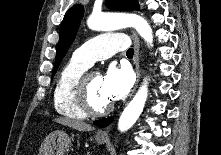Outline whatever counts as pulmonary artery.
Listing matches in <instances>:
<instances>
[{
	"label": "pulmonary artery",
	"instance_id": "1",
	"mask_svg": "<svg viewBox=\"0 0 221 155\" xmlns=\"http://www.w3.org/2000/svg\"><path fill=\"white\" fill-rule=\"evenodd\" d=\"M128 47V38L119 33L100 34L73 53V58L90 67L97 60L106 59L113 54L124 51Z\"/></svg>",
	"mask_w": 221,
	"mask_h": 155
}]
</instances>
